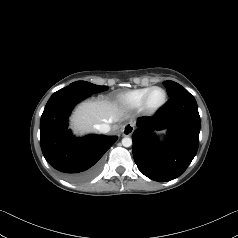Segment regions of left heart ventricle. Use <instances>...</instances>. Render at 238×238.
Here are the masks:
<instances>
[{"instance_id":"obj_1","label":"left heart ventricle","mask_w":238,"mask_h":238,"mask_svg":"<svg viewBox=\"0 0 238 238\" xmlns=\"http://www.w3.org/2000/svg\"><path fill=\"white\" fill-rule=\"evenodd\" d=\"M163 99H164L163 92L161 90H155L150 96L149 103L152 107H155L161 104Z\"/></svg>"}]
</instances>
